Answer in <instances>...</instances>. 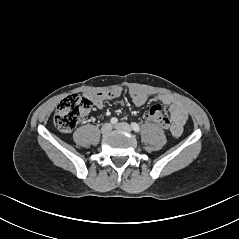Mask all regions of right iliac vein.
Wrapping results in <instances>:
<instances>
[{
	"instance_id": "63e3f726",
	"label": "right iliac vein",
	"mask_w": 239,
	"mask_h": 239,
	"mask_svg": "<svg viewBox=\"0 0 239 239\" xmlns=\"http://www.w3.org/2000/svg\"><path fill=\"white\" fill-rule=\"evenodd\" d=\"M111 130H112V125L110 123H105L101 128V132L104 135L110 133Z\"/></svg>"
}]
</instances>
